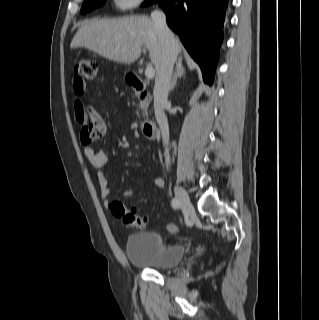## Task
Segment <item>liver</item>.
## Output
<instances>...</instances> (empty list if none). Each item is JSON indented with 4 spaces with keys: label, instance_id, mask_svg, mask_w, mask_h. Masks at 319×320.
<instances>
[{
    "label": "liver",
    "instance_id": "6515ba94",
    "mask_svg": "<svg viewBox=\"0 0 319 320\" xmlns=\"http://www.w3.org/2000/svg\"><path fill=\"white\" fill-rule=\"evenodd\" d=\"M175 39L176 56L181 45ZM70 47H83L100 56L124 64L136 61L145 48L158 73L163 56V45L154 22L148 16H130L120 19H92L77 31Z\"/></svg>",
    "mask_w": 319,
    "mask_h": 320
}]
</instances>
